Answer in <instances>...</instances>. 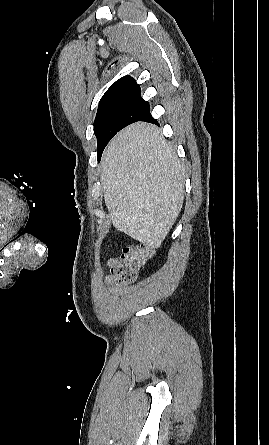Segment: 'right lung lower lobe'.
Wrapping results in <instances>:
<instances>
[{"label":"right lung lower lobe","mask_w":269,"mask_h":445,"mask_svg":"<svg viewBox=\"0 0 269 445\" xmlns=\"http://www.w3.org/2000/svg\"><path fill=\"white\" fill-rule=\"evenodd\" d=\"M139 121H146L151 123H157L155 119L150 114V109L147 111V113L139 120Z\"/></svg>","instance_id":"1"}]
</instances>
